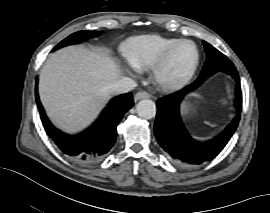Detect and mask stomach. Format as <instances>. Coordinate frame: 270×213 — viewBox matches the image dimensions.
<instances>
[{"instance_id":"1","label":"stomach","mask_w":270,"mask_h":213,"mask_svg":"<svg viewBox=\"0 0 270 213\" xmlns=\"http://www.w3.org/2000/svg\"><path fill=\"white\" fill-rule=\"evenodd\" d=\"M192 111V104L190 102H184L181 107V112L184 115L189 114Z\"/></svg>"}]
</instances>
